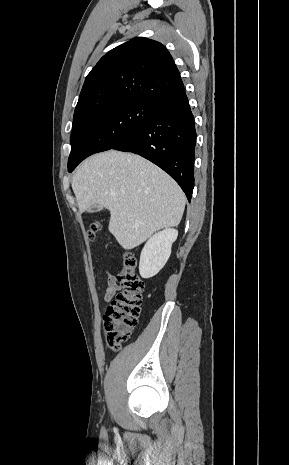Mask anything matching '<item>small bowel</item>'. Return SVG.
<instances>
[{"instance_id": "small-bowel-1", "label": "small bowel", "mask_w": 289, "mask_h": 465, "mask_svg": "<svg viewBox=\"0 0 289 465\" xmlns=\"http://www.w3.org/2000/svg\"><path fill=\"white\" fill-rule=\"evenodd\" d=\"M118 290L119 285L117 284L116 278L111 274H107L104 299L106 301H110L116 295Z\"/></svg>"}]
</instances>
